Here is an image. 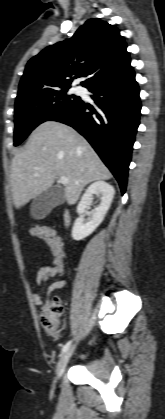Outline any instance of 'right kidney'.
Masks as SVG:
<instances>
[{
    "mask_svg": "<svg viewBox=\"0 0 165 419\" xmlns=\"http://www.w3.org/2000/svg\"><path fill=\"white\" fill-rule=\"evenodd\" d=\"M94 195L100 196L101 203L94 209V216L89 222L84 223L81 217L75 220L72 228V238L74 240H82L89 236L102 223L111 206L115 189L105 181L100 180L92 183L86 189L77 206L78 214H83L85 209L90 207Z\"/></svg>",
    "mask_w": 165,
    "mask_h": 419,
    "instance_id": "1",
    "label": "right kidney"
}]
</instances>
